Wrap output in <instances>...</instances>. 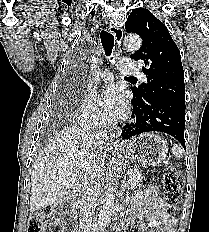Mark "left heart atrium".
Returning a JSON list of instances; mask_svg holds the SVG:
<instances>
[{
    "instance_id": "39dd6f15",
    "label": "left heart atrium",
    "mask_w": 209,
    "mask_h": 232,
    "mask_svg": "<svg viewBox=\"0 0 209 232\" xmlns=\"http://www.w3.org/2000/svg\"><path fill=\"white\" fill-rule=\"evenodd\" d=\"M98 102L108 120L121 119L126 114L125 102L114 86L105 88L99 95Z\"/></svg>"
}]
</instances>
